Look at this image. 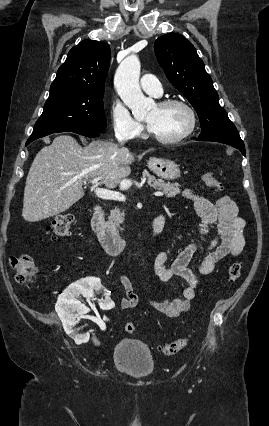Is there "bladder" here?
Wrapping results in <instances>:
<instances>
[{
  "mask_svg": "<svg viewBox=\"0 0 269 426\" xmlns=\"http://www.w3.org/2000/svg\"><path fill=\"white\" fill-rule=\"evenodd\" d=\"M113 365L134 377H146L155 369V361L149 347L134 338H124L114 347Z\"/></svg>",
  "mask_w": 269,
  "mask_h": 426,
  "instance_id": "31cf9c89",
  "label": "bladder"
}]
</instances>
